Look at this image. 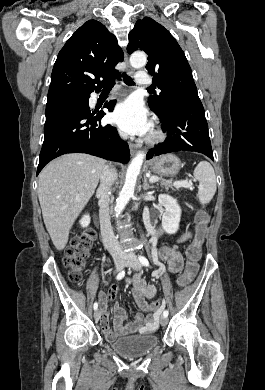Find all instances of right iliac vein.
I'll list each match as a JSON object with an SVG mask.
<instances>
[{
	"instance_id": "1",
	"label": "right iliac vein",
	"mask_w": 265,
	"mask_h": 390,
	"mask_svg": "<svg viewBox=\"0 0 265 390\" xmlns=\"http://www.w3.org/2000/svg\"><path fill=\"white\" fill-rule=\"evenodd\" d=\"M114 263H115L116 272H119L120 270H122L125 264V258L122 256H115ZM100 317H101V311L99 309H96L94 311V319L98 321Z\"/></svg>"
}]
</instances>
